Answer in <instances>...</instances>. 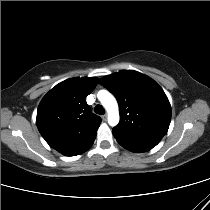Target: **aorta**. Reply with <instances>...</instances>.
<instances>
[{"instance_id":"obj_1","label":"aorta","mask_w":210,"mask_h":210,"mask_svg":"<svg viewBox=\"0 0 210 210\" xmlns=\"http://www.w3.org/2000/svg\"><path fill=\"white\" fill-rule=\"evenodd\" d=\"M98 99L108 112V123L110 126H116L119 123V109L115 97L107 90L98 92Z\"/></svg>"}]
</instances>
